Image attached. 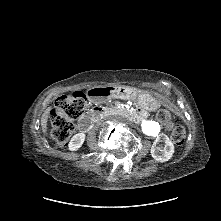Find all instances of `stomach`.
I'll return each instance as SVG.
<instances>
[{"label": "stomach", "mask_w": 221, "mask_h": 221, "mask_svg": "<svg viewBox=\"0 0 221 221\" xmlns=\"http://www.w3.org/2000/svg\"><path fill=\"white\" fill-rule=\"evenodd\" d=\"M118 93H120L123 97L137 100L146 107H153L158 104V101L151 93L136 88L118 87Z\"/></svg>", "instance_id": "0dacf381"}]
</instances>
